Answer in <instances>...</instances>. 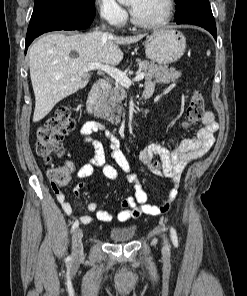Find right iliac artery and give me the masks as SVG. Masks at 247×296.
I'll use <instances>...</instances> for the list:
<instances>
[{
	"label": "right iliac artery",
	"mask_w": 247,
	"mask_h": 296,
	"mask_svg": "<svg viewBox=\"0 0 247 296\" xmlns=\"http://www.w3.org/2000/svg\"><path fill=\"white\" fill-rule=\"evenodd\" d=\"M79 226V222L76 220L73 225L71 231L73 232Z\"/></svg>",
	"instance_id": "82829eb1"
}]
</instances>
